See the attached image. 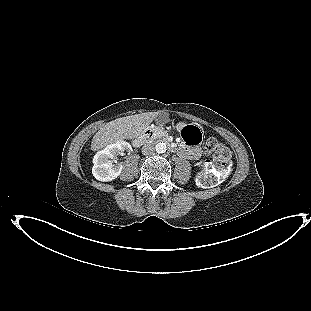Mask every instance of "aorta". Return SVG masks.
Returning <instances> with one entry per match:
<instances>
[{
	"label": "aorta",
	"mask_w": 311,
	"mask_h": 311,
	"mask_svg": "<svg viewBox=\"0 0 311 311\" xmlns=\"http://www.w3.org/2000/svg\"><path fill=\"white\" fill-rule=\"evenodd\" d=\"M166 144L163 142L157 143L155 145V150L157 153H165L166 152Z\"/></svg>",
	"instance_id": "aorta-1"
}]
</instances>
